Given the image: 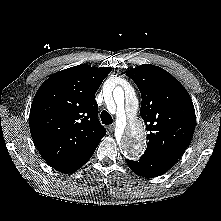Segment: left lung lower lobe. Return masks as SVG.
Wrapping results in <instances>:
<instances>
[{"instance_id": "0a47b994", "label": "left lung lower lobe", "mask_w": 221, "mask_h": 221, "mask_svg": "<svg viewBox=\"0 0 221 221\" xmlns=\"http://www.w3.org/2000/svg\"><path fill=\"white\" fill-rule=\"evenodd\" d=\"M127 164L137 175L146 178L160 176L173 167L170 162L146 154L138 161L128 160Z\"/></svg>"}]
</instances>
